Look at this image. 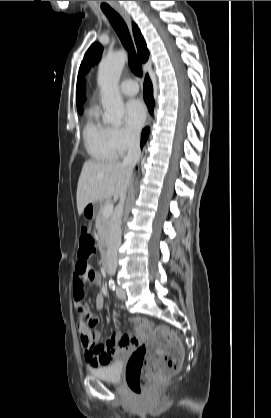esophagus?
<instances>
[{
	"label": "esophagus",
	"mask_w": 271,
	"mask_h": 418,
	"mask_svg": "<svg viewBox=\"0 0 271 418\" xmlns=\"http://www.w3.org/2000/svg\"><path fill=\"white\" fill-rule=\"evenodd\" d=\"M116 11L122 16V18L127 23L129 29L131 30V24H132V22H131V17L128 14V12L124 8H121V7L116 8ZM150 120H151V117H150V115H148L147 124L150 123Z\"/></svg>",
	"instance_id": "1"
}]
</instances>
